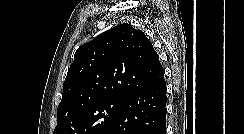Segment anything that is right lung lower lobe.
<instances>
[{
  "mask_svg": "<svg viewBox=\"0 0 244 134\" xmlns=\"http://www.w3.org/2000/svg\"><path fill=\"white\" fill-rule=\"evenodd\" d=\"M166 81L130 96L102 134H165Z\"/></svg>",
  "mask_w": 244,
  "mask_h": 134,
  "instance_id": "obj_1",
  "label": "right lung lower lobe"
}]
</instances>
